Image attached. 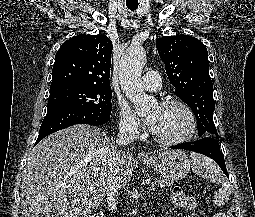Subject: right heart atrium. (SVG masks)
I'll list each match as a JSON object with an SVG mask.
<instances>
[{"mask_svg": "<svg viewBox=\"0 0 255 217\" xmlns=\"http://www.w3.org/2000/svg\"><path fill=\"white\" fill-rule=\"evenodd\" d=\"M119 115V130L122 134L136 137L141 133V124L132 112V110L125 104L118 106Z\"/></svg>", "mask_w": 255, "mask_h": 217, "instance_id": "obj_1", "label": "right heart atrium"}]
</instances>
